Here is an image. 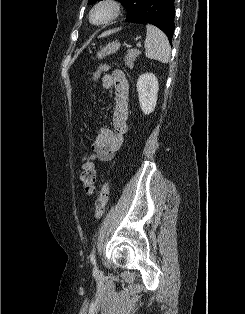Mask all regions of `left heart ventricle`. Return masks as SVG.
<instances>
[{"instance_id": "1", "label": "left heart ventricle", "mask_w": 245, "mask_h": 314, "mask_svg": "<svg viewBox=\"0 0 245 314\" xmlns=\"http://www.w3.org/2000/svg\"><path fill=\"white\" fill-rule=\"evenodd\" d=\"M109 16V9L102 7L99 8L93 15V20L95 22H102L106 20Z\"/></svg>"}]
</instances>
